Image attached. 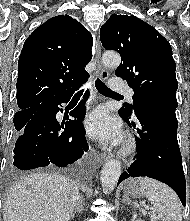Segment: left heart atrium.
Returning a JSON list of instances; mask_svg holds the SVG:
<instances>
[{
  "instance_id": "left-heart-atrium-1",
  "label": "left heart atrium",
  "mask_w": 190,
  "mask_h": 221,
  "mask_svg": "<svg viewBox=\"0 0 190 221\" xmlns=\"http://www.w3.org/2000/svg\"><path fill=\"white\" fill-rule=\"evenodd\" d=\"M87 134L102 143L117 145L122 139L120 121L105 107H98L84 120Z\"/></svg>"
}]
</instances>
